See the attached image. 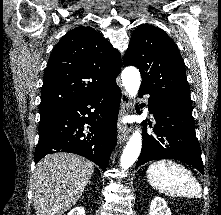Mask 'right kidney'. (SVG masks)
<instances>
[{
	"label": "right kidney",
	"instance_id": "1",
	"mask_svg": "<svg viewBox=\"0 0 221 215\" xmlns=\"http://www.w3.org/2000/svg\"><path fill=\"white\" fill-rule=\"evenodd\" d=\"M67 215H85V210L83 207H75Z\"/></svg>",
	"mask_w": 221,
	"mask_h": 215
}]
</instances>
